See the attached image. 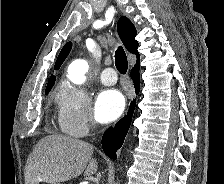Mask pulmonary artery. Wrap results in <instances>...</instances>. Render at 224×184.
Masks as SVG:
<instances>
[{
	"label": "pulmonary artery",
	"mask_w": 224,
	"mask_h": 184,
	"mask_svg": "<svg viewBox=\"0 0 224 184\" xmlns=\"http://www.w3.org/2000/svg\"><path fill=\"white\" fill-rule=\"evenodd\" d=\"M101 82L106 86H112L117 82V75L113 68H106L100 75Z\"/></svg>",
	"instance_id": "1"
}]
</instances>
